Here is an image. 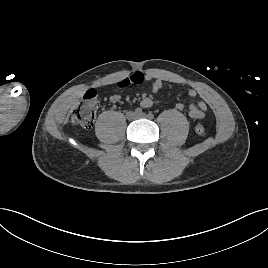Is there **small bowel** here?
<instances>
[{"instance_id": "1", "label": "small bowel", "mask_w": 268, "mask_h": 268, "mask_svg": "<svg viewBox=\"0 0 268 268\" xmlns=\"http://www.w3.org/2000/svg\"><path fill=\"white\" fill-rule=\"evenodd\" d=\"M124 82H127L128 85L130 84H140L143 82H149L151 85V90L152 92L156 93L158 92L162 87H163V80L161 78L155 77L151 74H144L142 72H135L129 77L125 78L120 82V85L123 84ZM187 94L194 98L197 96V90L195 88H189L187 91ZM121 101V96L120 95H113L110 97V102L111 103H118ZM153 104V101L150 96H143L140 105L143 108H149ZM176 109L177 110H183L184 109V104L182 103H177L176 104ZM207 110V105L204 101H199L195 104H191L188 108V113L189 116L193 119H202L205 115V112Z\"/></svg>"}]
</instances>
